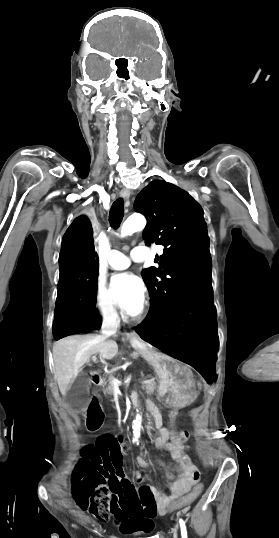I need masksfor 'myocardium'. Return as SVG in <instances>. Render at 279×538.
<instances>
[{"label": "myocardium", "instance_id": "obj_1", "mask_svg": "<svg viewBox=\"0 0 279 538\" xmlns=\"http://www.w3.org/2000/svg\"><path fill=\"white\" fill-rule=\"evenodd\" d=\"M145 228L146 227H143L142 229H139L137 227H133V228H131V231L139 232V231L145 230ZM144 313H145V306L143 305L136 312L126 314V318H129V319H132V320H140V319L143 318Z\"/></svg>", "mask_w": 279, "mask_h": 538}]
</instances>
